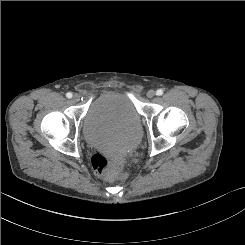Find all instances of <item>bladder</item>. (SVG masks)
<instances>
[{
	"instance_id": "bladder-1",
	"label": "bladder",
	"mask_w": 245,
	"mask_h": 245,
	"mask_svg": "<svg viewBox=\"0 0 245 245\" xmlns=\"http://www.w3.org/2000/svg\"><path fill=\"white\" fill-rule=\"evenodd\" d=\"M82 132L92 146L127 151L140 141V115L125 93L105 92L89 105L82 120Z\"/></svg>"
}]
</instances>
